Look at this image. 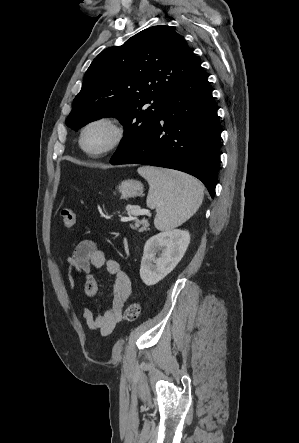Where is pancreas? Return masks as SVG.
<instances>
[{
	"label": "pancreas",
	"mask_w": 299,
	"mask_h": 443,
	"mask_svg": "<svg viewBox=\"0 0 299 443\" xmlns=\"http://www.w3.org/2000/svg\"><path fill=\"white\" fill-rule=\"evenodd\" d=\"M139 225H142V227L140 228V231H146L149 226V223L147 220L143 219V220L137 222V226H139Z\"/></svg>",
	"instance_id": "1"
}]
</instances>
